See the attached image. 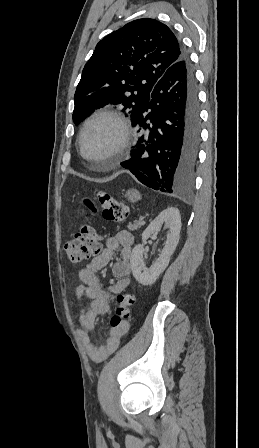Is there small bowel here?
<instances>
[{
	"mask_svg": "<svg viewBox=\"0 0 259 448\" xmlns=\"http://www.w3.org/2000/svg\"><path fill=\"white\" fill-rule=\"evenodd\" d=\"M132 245L133 236L130 232L116 233L106 239L103 249L78 273L81 284L75 292L76 300L80 302L84 296L88 298L86 306L82 307L79 313L82 330L78 334L88 356L96 363L104 361L114 353L120 344V339L129 330V323L125 322L119 327H111L103 343L92 341L91 336L97 335L96 317L110 311L109 293L101 283L98 272L112 260L114 252L119 250L120 257L111 268L115 281L109 287V292L125 291L130 284Z\"/></svg>",
	"mask_w": 259,
	"mask_h": 448,
	"instance_id": "obj_1",
	"label": "small bowel"
}]
</instances>
